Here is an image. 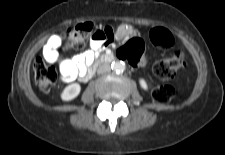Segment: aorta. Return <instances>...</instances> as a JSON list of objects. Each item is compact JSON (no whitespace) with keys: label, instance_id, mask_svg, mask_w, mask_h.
Masks as SVG:
<instances>
[{"label":"aorta","instance_id":"762f6f07","mask_svg":"<svg viewBox=\"0 0 225 155\" xmlns=\"http://www.w3.org/2000/svg\"><path fill=\"white\" fill-rule=\"evenodd\" d=\"M111 67L115 72L118 73L123 72L126 68L125 63L123 61H115L112 63Z\"/></svg>","mask_w":225,"mask_h":155}]
</instances>
